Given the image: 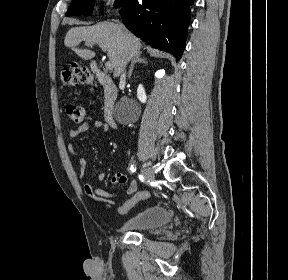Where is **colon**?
Wrapping results in <instances>:
<instances>
[{
  "label": "colon",
  "mask_w": 288,
  "mask_h": 280,
  "mask_svg": "<svg viewBox=\"0 0 288 280\" xmlns=\"http://www.w3.org/2000/svg\"><path fill=\"white\" fill-rule=\"evenodd\" d=\"M63 82L67 85H74L77 83L89 84L91 83V76L87 69L74 65L71 69H66L62 73ZM67 114L75 123L83 122L85 118V108L81 105L71 104L67 106ZM148 197V193L141 191L137 193L133 198L126 201L118 208V213L123 214L129 208L137 204L139 201L145 200Z\"/></svg>",
  "instance_id": "5ec220e1"
}]
</instances>
